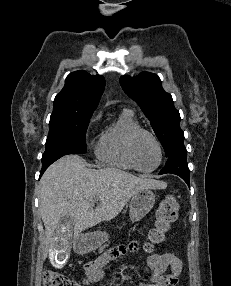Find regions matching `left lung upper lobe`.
<instances>
[{"label":"left lung upper lobe","mask_w":231,"mask_h":286,"mask_svg":"<svg viewBox=\"0 0 231 286\" xmlns=\"http://www.w3.org/2000/svg\"><path fill=\"white\" fill-rule=\"evenodd\" d=\"M120 84L150 120L164 147L166 157L175 149L184 146L180 114L174 107L172 96L163 90L161 80L156 74L142 72L136 77L125 76L120 79Z\"/></svg>","instance_id":"obj_1"}]
</instances>
